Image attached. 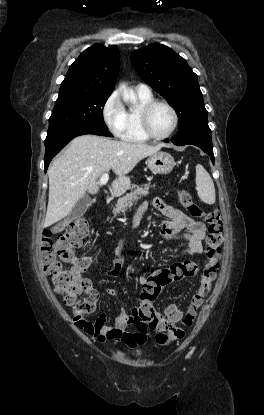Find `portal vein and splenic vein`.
I'll use <instances>...</instances> for the list:
<instances>
[{"label": "portal vein and splenic vein", "mask_w": 264, "mask_h": 415, "mask_svg": "<svg viewBox=\"0 0 264 415\" xmlns=\"http://www.w3.org/2000/svg\"><path fill=\"white\" fill-rule=\"evenodd\" d=\"M108 179H109L108 173H104L100 178L99 185L101 186L105 185L108 182Z\"/></svg>", "instance_id": "18ae733b"}]
</instances>
